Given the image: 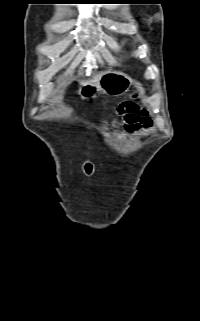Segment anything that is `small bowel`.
<instances>
[{"mask_svg":"<svg viewBox=\"0 0 200 321\" xmlns=\"http://www.w3.org/2000/svg\"><path fill=\"white\" fill-rule=\"evenodd\" d=\"M120 109L124 114L123 123L128 132L151 129L153 123L147 111L139 109L131 102L124 103Z\"/></svg>","mask_w":200,"mask_h":321,"instance_id":"c3829d8e","label":"small bowel"}]
</instances>
